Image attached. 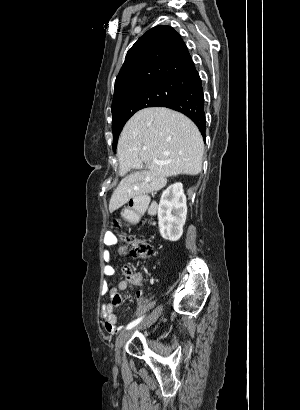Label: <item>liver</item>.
I'll list each match as a JSON object with an SVG mask.
<instances>
[{
    "label": "liver",
    "mask_w": 300,
    "mask_h": 410,
    "mask_svg": "<svg viewBox=\"0 0 300 410\" xmlns=\"http://www.w3.org/2000/svg\"><path fill=\"white\" fill-rule=\"evenodd\" d=\"M204 142L196 125L185 115L164 107L137 112L124 126L117 145L120 174L125 176L111 196L110 213L131 198L158 191L167 177L197 175L202 169ZM153 160L164 164L153 163Z\"/></svg>",
    "instance_id": "1"
}]
</instances>
